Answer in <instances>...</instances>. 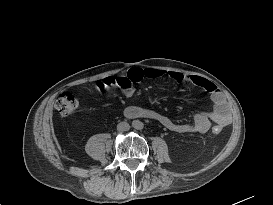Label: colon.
I'll return each instance as SVG.
<instances>
[{
    "mask_svg": "<svg viewBox=\"0 0 273 205\" xmlns=\"http://www.w3.org/2000/svg\"><path fill=\"white\" fill-rule=\"evenodd\" d=\"M128 78L131 85L138 84L143 78V72L140 69H133L128 73ZM55 108L61 115L73 114L78 108L77 99L68 92H63L55 101ZM214 134H219L221 128L214 126L212 128Z\"/></svg>",
    "mask_w": 273,
    "mask_h": 205,
    "instance_id": "obj_1",
    "label": "colon"
}]
</instances>
